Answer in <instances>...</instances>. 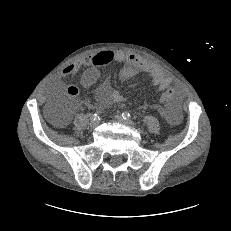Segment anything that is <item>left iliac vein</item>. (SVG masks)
I'll return each mask as SVG.
<instances>
[{
	"label": "left iliac vein",
	"mask_w": 231,
	"mask_h": 231,
	"mask_svg": "<svg viewBox=\"0 0 231 231\" xmlns=\"http://www.w3.org/2000/svg\"><path fill=\"white\" fill-rule=\"evenodd\" d=\"M115 119L119 122V123H122L124 125H129V126H132V124L128 121H126L125 119H123L120 115H116L115 116Z\"/></svg>",
	"instance_id": "1"
}]
</instances>
